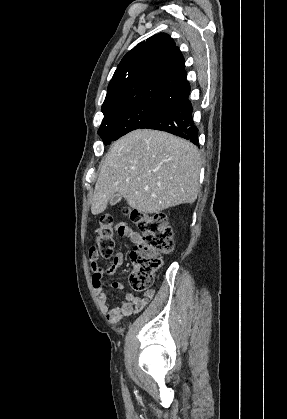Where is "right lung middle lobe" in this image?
<instances>
[{"label": "right lung middle lobe", "instance_id": "1", "mask_svg": "<svg viewBox=\"0 0 287 419\" xmlns=\"http://www.w3.org/2000/svg\"><path fill=\"white\" fill-rule=\"evenodd\" d=\"M165 107L164 104L142 103L106 113L98 134L105 144H109L128 132L140 128Z\"/></svg>", "mask_w": 287, "mask_h": 419}]
</instances>
